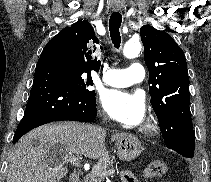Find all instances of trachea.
Masks as SVG:
<instances>
[{
	"label": "trachea",
	"instance_id": "3493384b",
	"mask_svg": "<svg viewBox=\"0 0 211 182\" xmlns=\"http://www.w3.org/2000/svg\"><path fill=\"white\" fill-rule=\"evenodd\" d=\"M122 22V15L118 12H114L111 14L109 19V31L110 37L114 44V46L118 49L121 43V35L119 32L120 26Z\"/></svg>",
	"mask_w": 211,
	"mask_h": 182
}]
</instances>
